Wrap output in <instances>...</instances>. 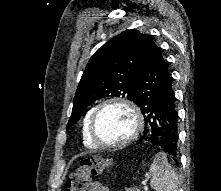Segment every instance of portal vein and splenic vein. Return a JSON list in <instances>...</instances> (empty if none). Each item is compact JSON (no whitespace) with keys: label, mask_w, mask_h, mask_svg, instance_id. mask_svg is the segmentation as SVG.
I'll list each match as a JSON object with an SVG mask.
<instances>
[{"label":"portal vein and splenic vein","mask_w":221,"mask_h":191,"mask_svg":"<svg viewBox=\"0 0 221 191\" xmlns=\"http://www.w3.org/2000/svg\"><path fill=\"white\" fill-rule=\"evenodd\" d=\"M141 185H142V187L145 189V188H147V181L145 180V181H143L142 183H141Z\"/></svg>","instance_id":"1"}]
</instances>
